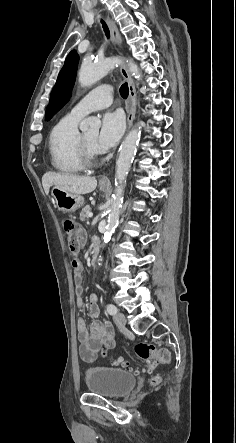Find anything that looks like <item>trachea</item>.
<instances>
[{
	"label": "trachea",
	"instance_id": "obj_1",
	"mask_svg": "<svg viewBox=\"0 0 236 443\" xmlns=\"http://www.w3.org/2000/svg\"><path fill=\"white\" fill-rule=\"evenodd\" d=\"M101 22H102V26H103L105 35L109 38L110 32H109L108 26L106 25V23L104 21H101ZM128 93H129V89H128L127 83L122 84L121 87H120V94H121V96L123 98H127L128 97Z\"/></svg>",
	"mask_w": 236,
	"mask_h": 443
}]
</instances>
